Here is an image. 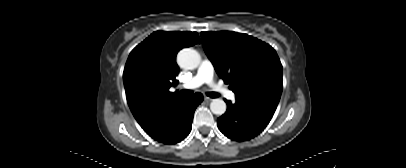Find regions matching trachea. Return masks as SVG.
<instances>
[{
    "label": "trachea",
    "instance_id": "3493384b",
    "mask_svg": "<svg viewBox=\"0 0 406 168\" xmlns=\"http://www.w3.org/2000/svg\"><path fill=\"white\" fill-rule=\"evenodd\" d=\"M181 92H182V95H184V96H189L193 93L192 90H186V89L182 90ZM207 96H209L211 98H216V97H219V94L216 92H208Z\"/></svg>",
    "mask_w": 406,
    "mask_h": 168
}]
</instances>
